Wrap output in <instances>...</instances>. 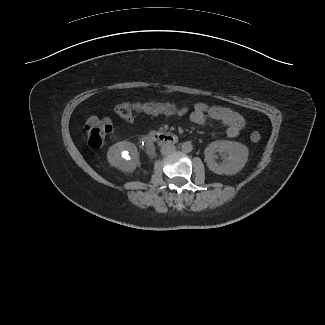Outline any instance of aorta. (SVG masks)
<instances>
[{
  "instance_id": "aorta-1",
  "label": "aorta",
  "mask_w": 325,
  "mask_h": 325,
  "mask_svg": "<svg viewBox=\"0 0 325 325\" xmlns=\"http://www.w3.org/2000/svg\"><path fill=\"white\" fill-rule=\"evenodd\" d=\"M192 148H193V146H192V144H191V142H184L183 144H182V147H181V149H182V151L184 152V153H189V152H191L192 151Z\"/></svg>"
}]
</instances>
